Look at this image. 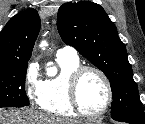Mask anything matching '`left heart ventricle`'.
Returning <instances> with one entry per match:
<instances>
[{"label": "left heart ventricle", "instance_id": "1", "mask_svg": "<svg viewBox=\"0 0 145 124\" xmlns=\"http://www.w3.org/2000/svg\"><path fill=\"white\" fill-rule=\"evenodd\" d=\"M79 96L83 109L88 113H96L107 101V90L101 78L89 72L80 83Z\"/></svg>", "mask_w": 145, "mask_h": 124}]
</instances>
